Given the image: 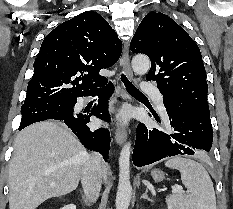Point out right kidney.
Returning a JSON list of instances; mask_svg holds the SVG:
<instances>
[{"mask_svg": "<svg viewBox=\"0 0 233 209\" xmlns=\"http://www.w3.org/2000/svg\"><path fill=\"white\" fill-rule=\"evenodd\" d=\"M62 209H76V206L74 204L66 205Z\"/></svg>", "mask_w": 233, "mask_h": 209, "instance_id": "1", "label": "right kidney"}]
</instances>
